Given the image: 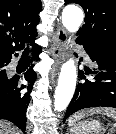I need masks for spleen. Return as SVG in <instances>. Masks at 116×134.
Returning a JSON list of instances; mask_svg holds the SVG:
<instances>
[{"mask_svg": "<svg viewBox=\"0 0 116 134\" xmlns=\"http://www.w3.org/2000/svg\"><path fill=\"white\" fill-rule=\"evenodd\" d=\"M93 114H104L116 120V109L113 108H93L89 110L80 111L69 118V125L72 126L77 120Z\"/></svg>", "mask_w": 116, "mask_h": 134, "instance_id": "spleen-1", "label": "spleen"}]
</instances>
